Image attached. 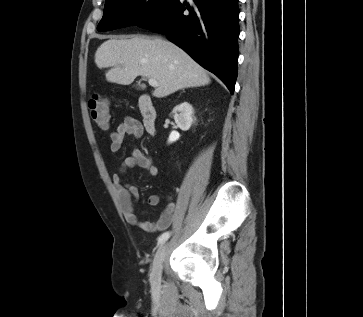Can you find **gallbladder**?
<instances>
[{"label": "gallbladder", "mask_w": 363, "mask_h": 317, "mask_svg": "<svg viewBox=\"0 0 363 317\" xmlns=\"http://www.w3.org/2000/svg\"><path fill=\"white\" fill-rule=\"evenodd\" d=\"M137 89H143L142 85H137Z\"/></svg>", "instance_id": "gallbladder-1"}]
</instances>
